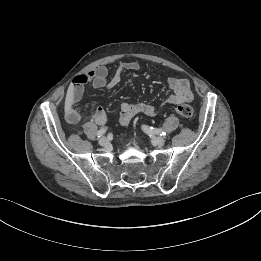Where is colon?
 <instances>
[{
    "mask_svg": "<svg viewBox=\"0 0 261 261\" xmlns=\"http://www.w3.org/2000/svg\"><path fill=\"white\" fill-rule=\"evenodd\" d=\"M175 111L181 117L190 119L194 116V109L189 104H180L175 107Z\"/></svg>",
    "mask_w": 261,
    "mask_h": 261,
    "instance_id": "obj_1",
    "label": "colon"
}]
</instances>
